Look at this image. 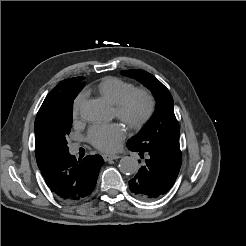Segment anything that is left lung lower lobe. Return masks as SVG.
Masks as SVG:
<instances>
[{
  "mask_svg": "<svg viewBox=\"0 0 246 246\" xmlns=\"http://www.w3.org/2000/svg\"><path fill=\"white\" fill-rule=\"evenodd\" d=\"M128 147V146H127ZM131 151H136L128 147ZM146 160L138 173L129 181V188L142 200H154L166 194L176 181L181 158L155 149L137 151Z\"/></svg>",
  "mask_w": 246,
  "mask_h": 246,
  "instance_id": "1",
  "label": "left lung lower lobe"
}]
</instances>
